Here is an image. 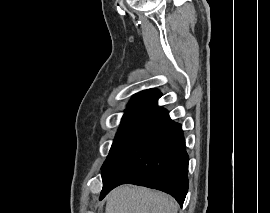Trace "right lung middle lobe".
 <instances>
[{"label": "right lung middle lobe", "mask_w": 270, "mask_h": 213, "mask_svg": "<svg viewBox=\"0 0 270 213\" xmlns=\"http://www.w3.org/2000/svg\"><path fill=\"white\" fill-rule=\"evenodd\" d=\"M154 109L155 108L151 106H133L125 110L120 128L116 134L109 155L102 166V170L108 166L119 149L127 142L136 128Z\"/></svg>", "instance_id": "dd1d6c3e"}]
</instances>
